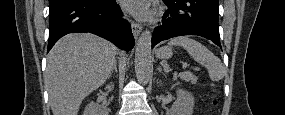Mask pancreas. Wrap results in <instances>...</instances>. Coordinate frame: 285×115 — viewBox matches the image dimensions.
Here are the masks:
<instances>
[{
	"label": "pancreas",
	"mask_w": 285,
	"mask_h": 115,
	"mask_svg": "<svg viewBox=\"0 0 285 115\" xmlns=\"http://www.w3.org/2000/svg\"><path fill=\"white\" fill-rule=\"evenodd\" d=\"M179 77L186 82H191L192 84H196L198 80V77H196L192 72H182L179 74Z\"/></svg>",
	"instance_id": "cf45deb5"
}]
</instances>
